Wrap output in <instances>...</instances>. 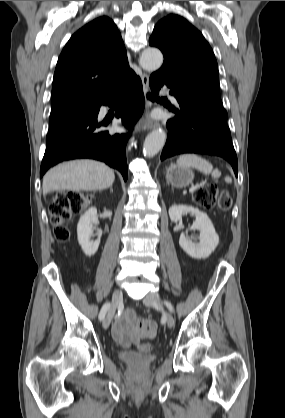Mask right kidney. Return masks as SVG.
Returning <instances> with one entry per match:
<instances>
[{"label": "right kidney", "mask_w": 285, "mask_h": 418, "mask_svg": "<svg viewBox=\"0 0 285 418\" xmlns=\"http://www.w3.org/2000/svg\"><path fill=\"white\" fill-rule=\"evenodd\" d=\"M98 222L97 209H88L79 219L77 225V238L84 254L88 257L93 256L99 247L100 238L91 240L93 235V225Z\"/></svg>", "instance_id": "1"}]
</instances>
